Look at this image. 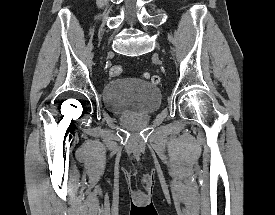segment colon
Here are the masks:
<instances>
[{"instance_id": "5ec220e1", "label": "colon", "mask_w": 275, "mask_h": 215, "mask_svg": "<svg viewBox=\"0 0 275 215\" xmlns=\"http://www.w3.org/2000/svg\"><path fill=\"white\" fill-rule=\"evenodd\" d=\"M122 72L123 69L119 65H112L109 69V75L113 78L119 77L122 74ZM144 76L154 84H158L160 82V78L156 74L145 73Z\"/></svg>"}]
</instances>
